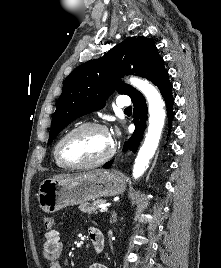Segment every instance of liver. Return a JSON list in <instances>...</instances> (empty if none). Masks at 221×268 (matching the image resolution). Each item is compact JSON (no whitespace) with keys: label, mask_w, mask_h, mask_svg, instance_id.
Instances as JSON below:
<instances>
[{"label":"liver","mask_w":221,"mask_h":268,"mask_svg":"<svg viewBox=\"0 0 221 268\" xmlns=\"http://www.w3.org/2000/svg\"><path fill=\"white\" fill-rule=\"evenodd\" d=\"M102 172L101 170H96V171H92V172H88V173H84V174H78V175H66V174H60V175H55L52 179H56V180H60V179H64V178H75V177H80L83 175H88V176H94L98 173Z\"/></svg>","instance_id":"1"}]
</instances>
